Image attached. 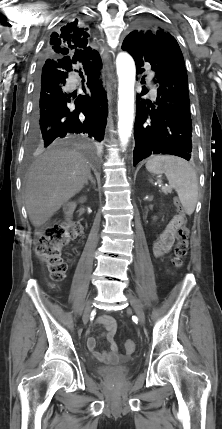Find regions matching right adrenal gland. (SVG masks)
I'll list each match as a JSON object with an SVG mask.
<instances>
[{
	"label": "right adrenal gland",
	"mask_w": 222,
	"mask_h": 429,
	"mask_svg": "<svg viewBox=\"0 0 222 429\" xmlns=\"http://www.w3.org/2000/svg\"><path fill=\"white\" fill-rule=\"evenodd\" d=\"M88 180H89L93 185H95V184H96V181H95V180H94V178L92 177L91 173L89 174ZM86 185H88V181L86 182Z\"/></svg>",
	"instance_id": "right-adrenal-gland-1"
}]
</instances>
